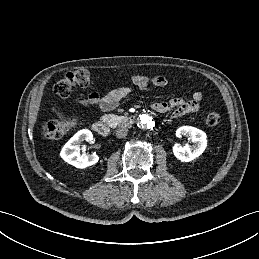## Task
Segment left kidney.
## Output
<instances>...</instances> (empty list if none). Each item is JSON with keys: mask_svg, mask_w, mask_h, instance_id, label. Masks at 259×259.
<instances>
[{"mask_svg": "<svg viewBox=\"0 0 259 259\" xmlns=\"http://www.w3.org/2000/svg\"><path fill=\"white\" fill-rule=\"evenodd\" d=\"M182 135H189L194 144L192 146H182L176 143L173 146V154L182 162H190L199 157L206 149L207 136L202 130L191 126H182L178 128L176 136L181 137Z\"/></svg>", "mask_w": 259, "mask_h": 259, "instance_id": "obj_1", "label": "left kidney"}]
</instances>
